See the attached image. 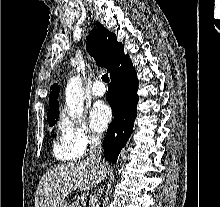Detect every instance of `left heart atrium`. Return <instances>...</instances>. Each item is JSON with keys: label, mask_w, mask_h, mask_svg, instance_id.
Returning <instances> with one entry per match:
<instances>
[{"label": "left heart atrium", "mask_w": 220, "mask_h": 207, "mask_svg": "<svg viewBox=\"0 0 220 207\" xmlns=\"http://www.w3.org/2000/svg\"><path fill=\"white\" fill-rule=\"evenodd\" d=\"M111 116L108 106L102 103L96 104L90 113L91 127L97 132H103L107 128Z\"/></svg>", "instance_id": "39dd6f15"}]
</instances>
